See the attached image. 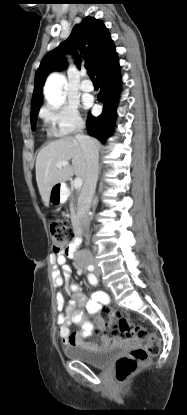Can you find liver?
<instances>
[{
	"label": "liver",
	"mask_w": 187,
	"mask_h": 415,
	"mask_svg": "<svg viewBox=\"0 0 187 415\" xmlns=\"http://www.w3.org/2000/svg\"><path fill=\"white\" fill-rule=\"evenodd\" d=\"M97 147L98 140L91 138ZM71 160L72 164L57 167L62 161ZM86 160L84 151L76 137L68 136L49 142L36 158V181L44 204H49L50 192L54 185L67 181L73 175L85 178Z\"/></svg>",
	"instance_id": "obj_1"
}]
</instances>
